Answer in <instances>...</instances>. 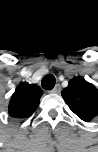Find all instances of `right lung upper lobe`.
I'll use <instances>...</instances> for the list:
<instances>
[{
  "label": "right lung upper lobe",
  "mask_w": 98,
  "mask_h": 152,
  "mask_svg": "<svg viewBox=\"0 0 98 152\" xmlns=\"http://www.w3.org/2000/svg\"><path fill=\"white\" fill-rule=\"evenodd\" d=\"M42 94L39 86L21 82L9 102V115L17 119L30 117L37 109Z\"/></svg>",
  "instance_id": "obj_1"
}]
</instances>
